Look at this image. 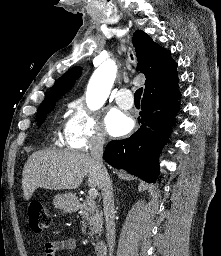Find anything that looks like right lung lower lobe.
Listing matches in <instances>:
<instances>
[{"label": "right lung lower lobe", "mask_w": 221, "mask_h": 256, "mask_svg": "<svg viewBox=\"0 0 221 256\" xmlns=\"http://www.w3.org/2000/svg\"><path fill=\"white\" fill-rule=\"evenodd\" d=\"M178 87L169 91L143 96L140 128L129 138L113 140L104 152L105 161L115 168L154 183L159 175L157 164L161 147L169 142L170 127L179 111Z\"/></svg>", "instance_id": "right-lung-lower-lobe-1"}]
</instances>
